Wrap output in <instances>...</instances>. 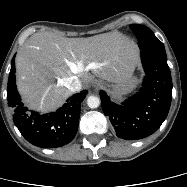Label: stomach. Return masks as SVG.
Returning <instances> with one entry per match:
<instances>
[{"label": "stomach", "mask_w": 187, "mask_h": 187, "mask_svg": "<svg viewBox=\"0 0 187 187\" xmlns=\"http://www.w3.org/2000/svg\"><path fill=\"white\" fill-rule=\"evenodd\" d=\"M137 84L138 79L132 72L123 82L113 85L110 93L111 95L118 97L131 92L137 86Z\"/></svg>", "instance_id": "obj_1"}]
</instances>
